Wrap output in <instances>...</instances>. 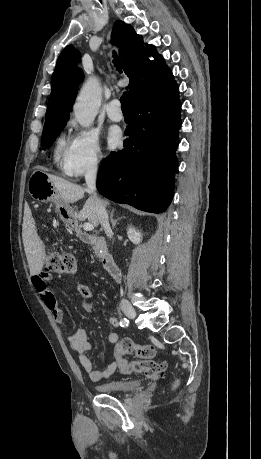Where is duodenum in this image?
Here are the masks:
<instances>
[{
  "mask_svg": "<svg viewBox=\"0 0 261 459\" xmlns=\"http://www.w3.org/2000/svg\"><path fill=\"white\" fill-rule=\"evenodd\" d=\"M73 231L75 235L82 240L83 242H90L91 240L97 239L99 242L102 243V240L97 237H93L82 232L77 226H73ZM102 264L106 272L113 278L118 279L120 276V270L114 260V258L109 254L105 253L102 257Z\"/></svg>",
  "mask_w": 261,
  "mask_h": 459,
  "instance_id": "obj_1",
  "label": "duodenum"
}]
</instances>
